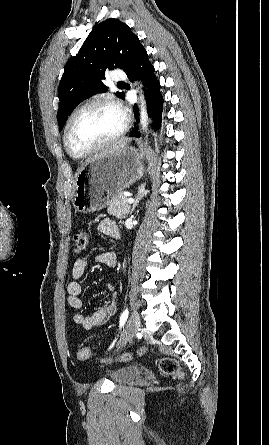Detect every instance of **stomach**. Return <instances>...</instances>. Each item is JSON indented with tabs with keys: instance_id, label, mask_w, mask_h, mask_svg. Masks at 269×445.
<instances>
[{
	"instance_id": "stomach-1",
	"label": "stomach",
	"mask_w": 269,
	"mask_h": 445,
	"mask_svg": "<svg viewBox=\"0 0 269 445\" xmlns=\"http://www.w3.org/2000/svg\"><path fill=\"white\" fill-rule=\"evenodd\" d=\"M142 175V156L134 147L99 155L78 171L72 204L81 213L102 210Z\"/></svg>"
}]
</instances>
